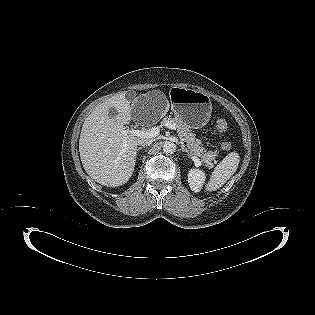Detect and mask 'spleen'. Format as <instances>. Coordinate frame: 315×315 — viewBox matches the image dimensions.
Listing matches in <instances>:
<instances>
[{
    "label": "spleen",
    "mask_w": 315,
    "mask_h": 315,
    "mask_svg": "<svg viewBox=\"0 0 315 315\" xmlns=\"http://www.w3.org/2000/svg\"><path fill=\"white\" fill-rule=\"evenodd\" d=\"M240 162L237 152L229 153L213 170L206 191H216L222 187L230 177L236 172Z\"/></svg>",
    "instance_id": "1"
}]
</instances>
